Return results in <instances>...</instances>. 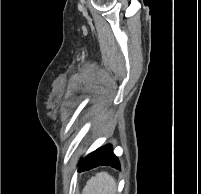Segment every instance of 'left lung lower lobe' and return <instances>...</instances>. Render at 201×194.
Segmentation results:
<instances>
[{"mask_svg": "<svg viewBox=\"0 0 201 194\" xmlns=\"http://www.w3.org/2000/svg\"><path fill=\"white\" fill-rule=\"evenodd\" d=\"M120 168L118 158L113 154L112 146L106 145L89 154L79 166L78 171H86L97 166Z\"/></svg>", "mask_w": 201, "mask_h": 194, "instance_id": "left-lung-lower-lobe-1", "label": "left lung lower lobe"}]
</instances>
